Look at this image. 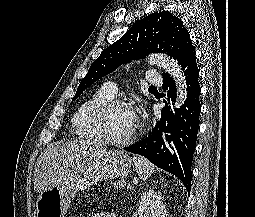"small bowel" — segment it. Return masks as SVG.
<instances>
[{"instance_id":"small-bowel-1","label":"small bowel","mask_w":255,"mask_h":217,"mask_svg":"<svg viewBox=\"0 0 255 217\" xmlns=\"http://www.w3.org/2000/svg\"><path fill=\"white\" fill-rule=\"evenodd\" d=\"M92 217H115V215L111 213H107V212H102V213L95 214Z\"/></svg>"}]
</instances>
